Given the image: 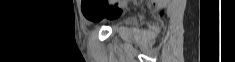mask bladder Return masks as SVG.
<instances>
[{"mask_svg": "<svg viewBox=\"0 0 235 62\" xmlns=\"http://www.w3.org/2000/svg\"><path fill=\"white\" fill-rule=\"evenodd\" d=\"M131 21H132L131 18H126V19L124 20L125 23H129V22H131Z\"/></svg>", "mask_w": 235, "mask_h": 62, "instance_id": "1", "label": "bladder"}]
</instances>
